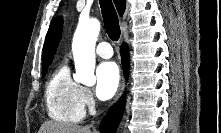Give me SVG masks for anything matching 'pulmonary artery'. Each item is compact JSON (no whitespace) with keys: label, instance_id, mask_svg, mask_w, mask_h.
I'll use <instances>...</instances> for the list:
<instances>
[{"label":"pulmonary artery","instance_id":"pulmonary-artery-1","mask_svg":"<svg viewBox=\"0 0 221 133\" xmlns=\"http://www.w3.org/2000/svg\"><path fill=\"white\" fill-rule=\"evenodd\" d=\"M96 54L104 59L111 58L113 56L111 45L106 41L99 43L96 48Z\"/></svg>","mask_w":221,"mask_h":133}]
</instances>
